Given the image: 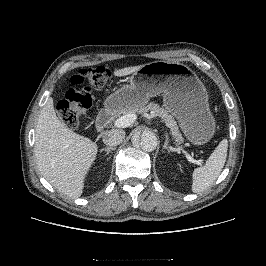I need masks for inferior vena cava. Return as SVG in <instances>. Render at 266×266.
<instances>
[{"mask_svg": "<svg viewBox=\"0 0 266 266\" xmlns=\"http://www.w3.org/2000/svg\"><path fill=\"white\" fill-rule=\"evenodd\" d=\"M125 138V131L121 129H112L106 131L103 135V142L108 146H117Z\"/></svg>", "mask_w": 266, "mask_h": 266, "instance_id": "1", "label": "inferior vena cava"}]
</instances>
